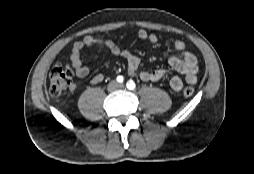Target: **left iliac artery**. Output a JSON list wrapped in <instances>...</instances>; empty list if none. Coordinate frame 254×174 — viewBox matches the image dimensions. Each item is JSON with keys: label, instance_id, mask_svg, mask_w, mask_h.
Listing matches in <instances>:
<instances>
[{"label": "left iliac artery", "instance_id": "44dca946", "mask_svg": "<svg viewBox=\"0 0 254 174\" xmlns=\"http://www.w3.org/2000/svg\"><path fill=\"white\" fill-rule=\"evenodd\" d=\"M126 86H127L128 89L133 90V89H135V86H136V85H135V83H134L133 80H129V81L127 82Z\"/></svg>", "mask_w": 254, "mask_h": 174}]
</instances>
